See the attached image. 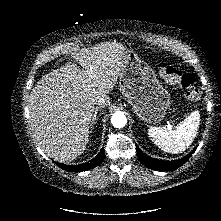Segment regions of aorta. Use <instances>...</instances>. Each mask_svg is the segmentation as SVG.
<instances>
[{
    "label": "aorta",
    "instance_id": "1",
    "mask_svg": "<svg viewBox=\"0 0 221 221\" xmlns=\"http://www.w3.org/2000/svg\"><path fill=\"white\" fill-rule=\"evenodd\" d=\"M111 123L115 128H123L127 123V118L123 112H115L111 117Z\"/></svg>",
    "mask_w": 221,
    "mask_h": 221
}]
</instances>
